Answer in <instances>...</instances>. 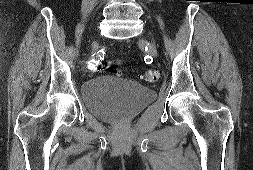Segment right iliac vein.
<instances>
[{"label":"right iliac vein","instance_id":"right-iliac-vein-1","mask_svg":"<svg viewBox=\"0 0 253 170\" xmlns=\"http://www.w3.org/2000/svg\"><path fill=\"white\" fill-rule=\"evenodd\" d=\"M95 43H93V49H94Z\"/></svg>","mask_w":253,"mask_h":170}]
</instances>
